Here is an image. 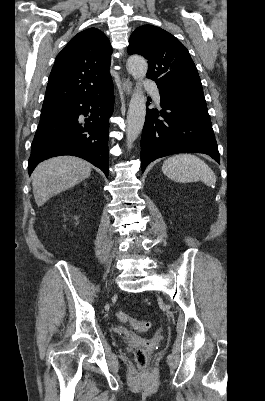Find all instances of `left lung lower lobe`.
<instances>
[{"instance_id":"left-lung-lower-lobe-1","label":"left lung lower lobe","mask_w":265,"mask_h":401,"mask_svg":"<svg viewBox=\"0 0 265 401\" xmlns=\"http://www.w3.org/2000/svg\"><path fill=\"white\" fill-rule=\"evenodd\" d=\"M159 93L163 109L146 112L141 138L142 171L157 158L182 152L205 153L220 163L204 95L160 89Z\"/></svg>"}]
</instances>
